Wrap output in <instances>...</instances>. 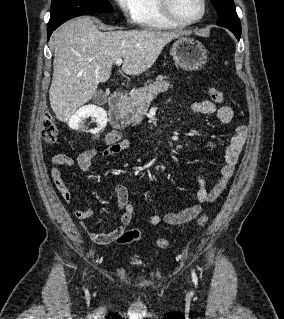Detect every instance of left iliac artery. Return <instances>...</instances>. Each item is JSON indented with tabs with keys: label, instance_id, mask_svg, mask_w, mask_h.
I'll use <instances>...</instances> for the list:
<instances>
[{
	"label": "left iliac artery",
	"instance_id": "left-iliac-artery-1",
	"mask_svg": "<svg viewBox=\"0 0 284 319\" xmlns=\"http://www.w3.org/2000/svg\"><path fill=\"white\" fill-rule=\"evenodd\" d=\"M192 280L195 283V285L198 284L197 276H196V273L194 272V270L192 271Z\"/></svg>",
	"mask_w": 284,
	"mask_h": 319
}]
</instances>
